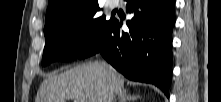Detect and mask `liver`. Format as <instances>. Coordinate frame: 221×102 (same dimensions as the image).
<instances>
[{
  "label": "liver",
  "instance_id": "1",
  "mask_svg": "<svg viewBox=\"0 0 221 102\" xmlns=\"http://www.w3.org/2000/svg\"><path fill=\"white\" fill-rule=\"evenodd\" d=\"M124 90V79L110 66L88 63L46 78L36 102H66L86 98L87 102H109Z\"/></svg>",
  "mask_w": 221,
  "mask_h": 102
}]
</instances>
